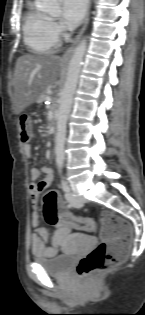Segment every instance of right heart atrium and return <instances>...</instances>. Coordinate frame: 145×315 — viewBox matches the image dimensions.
Wrapping results in <instances>:
<instances>
[{
    "label": "right heart atrium",
    "mask_w": 145,
    "mask_h": 315,
    "mask_svg": "<svg viewBox=\"0 0 145 315\" xmlns=\"http://www.w3.org/2000/svg\"><path fill=\"white\" fill-rule=\"evenodd\" d=\"M53 27L56 33H62L64 31L63 27L58 22H53Z\"/></svg>",
    "instance_id": "right-heart-atrium-1"
}]
</instances>
